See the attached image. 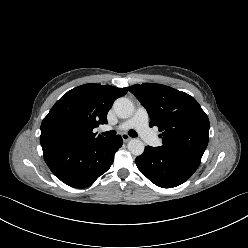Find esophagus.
Instances as JSON below:
<instances>
[{
	"label": "esophagus",
	"instance_id": "esophagus-1",
	"mask_svg": "<svg viewBox=\"0 0 248 248\" xmlns=\"http://www.w3.org/2000/svg\"><path fill=\"white\" fill-rule=\"evenodd\" d=\"M122 139L124 142L130 141L132 138L128 134H122Z\"/></svg>",
	"mask_w": 248,
	"mask_h": 248
}]
</instances>
